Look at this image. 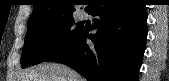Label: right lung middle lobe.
Masks as SVG:
<instances>
[{"label":"right lung middle lobe","instance_id":"obj_1","mask_svg":"<svg viewBox=\"0 0 169 81\" xmlns=\"http://www.w3.org/2000/svg\"><path fill=\"white\" fill-rule=\"evenodd\" d=\"M72 15L49 18L28 24L20 59L22 68L46 61L71 42L83 27L72 28Z\"/></svg>","mask_w":169,"mask_h":81}]
</instances>
